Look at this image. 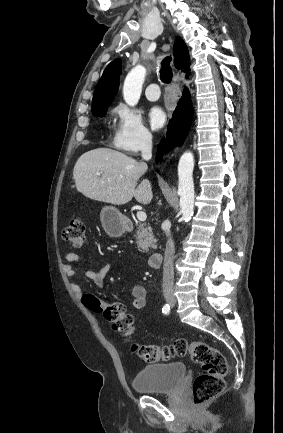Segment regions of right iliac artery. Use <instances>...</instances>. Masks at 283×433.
<instances>
[{"instance_id":"right-iliac-artery-1","label":"right iliac artery","mask_w":283,"mask_h":433,"mask_svg":"<svg viewBox=\"0 0 283 433\" xmlns=\"http://www.w3.org/2000/svg\"><path fill=\"white\" fill-rule=\"evenodd\" d=\"M162 313H164L165 315H168L170 313V306H169V304H165L163 306Z\"/></svg>"}]
</instances>
